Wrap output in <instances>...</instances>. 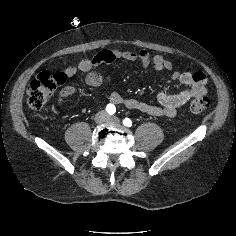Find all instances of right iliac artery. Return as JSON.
<instances>
[{
    "instance_id": "82829eb1",
    "label": "right iliac artery",
    "mask_w": 236,
    "mask_h": 236,
    "mask_svg": "<svg viewBox=\"0 0 236 236\" xmlns=\"http://www.w3.org/2000/svg\"><path fill=\"white\" fill-rule=\"evenodd\" d=\"M106 111L108 112V114L113 115L116 112V108L113 104H108L106 106Z\"/></svg>"
}]
</instances>
